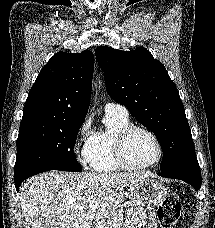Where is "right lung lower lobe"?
I'll return each instance as SVG.
<instances>
[{
	"mask_svg": "<svg viewBox=\"0 0 215 228\" xmlns=\"http://www.w3.org/2000/svg\"><path fill=\"white\" fill-rule=\"evenodd\" d=\"M50 170L51 169H36V170L25 171V172L15 175L14 182H15L16 190L19 191V186L21 185L22 181H24L28 177H31L33 175H36L38 173H42L45 171H50Z\"/></svg>",
	"mask_w": 215,
	"mask_h": 228,
	"instance_id": "right-lung-lower-lobe-1",
	"label": "right lung lower lobe"
}]
</instances>
